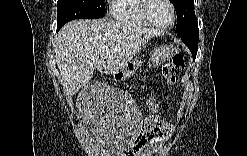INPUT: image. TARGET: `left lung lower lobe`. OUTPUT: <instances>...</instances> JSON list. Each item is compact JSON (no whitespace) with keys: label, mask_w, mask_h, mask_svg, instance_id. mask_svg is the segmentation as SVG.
Returning a JSON list of instances; mask_svg holds the SVG:
<instances>
[{"label":"left lung lower lobe","mask_w":247,"mask_h":156,"mask_svg":"<svg viewBox=\"0 0 247 156\" xmlns=\"http://www.w3.org/2000/svg\"><path fill=\"white\" fill-rule=\"evenodd\" d=\"M198 34H199V31L196 34L192 35L190 40L183 41L187 45V47L190 49V51L192 52L193 59H195L196 54H197Z\"/></svg>","instance_id":"0a47b994"}]
</instances>
